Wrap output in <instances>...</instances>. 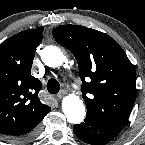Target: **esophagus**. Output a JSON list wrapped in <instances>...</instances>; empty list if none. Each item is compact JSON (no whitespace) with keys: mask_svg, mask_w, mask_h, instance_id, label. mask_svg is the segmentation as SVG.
<instances>
[{"mask_svg":"<svg viewBox=\"0 0 145 145\" xmlns=\"http://www.w3.org/2000/svg\"><path fill=\"white\" fill-rule=\"evenodd\" d=\"M65 94H66V91H65V90H61V91L57 94L56 98H57L58 100H60L62 97L65 96Z\"/></svg>","mask_w":145,"mask_h":145,"instance_id":"1","label":"esophagus"}]
</instances>
